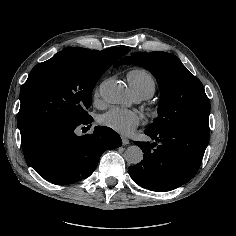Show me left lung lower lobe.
I'll return each instance as SVG.
<instances>
[{
	"label": "left lung lower lobe",
	"mask_w": 236,
	"mask_h": 236,
	"mask_svg": "<svg viewBox=\"0 0 236 236\" xmlns=\"http://www.w3.org/2000/svg\"><path fill=\"white\" fill-rule=\"evenodd\" d=\"M145 134L154 142H135L144 153L143 160L128 168L138 185L165 192L195 176L209 142V132L167 128L156 132L145 130Z\"/></svg>",
	"instance_id": "0a47b994"
}]
</instances>
